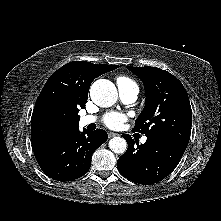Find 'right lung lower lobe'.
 Instances as JSON below:
<instances>
[{
	"instance_id": "right-lung-lower-lobe-1",
	"label": "right lung lower lobe",
	"mask_w": 221,
	"mask_h": 221,
	"mask_svg": "<svg viewBox=\"0 0 221 221\" xmlns=\"http://www.w3.org/2000/svg\"><path fill=\"white\" fill-rule=\"evenodd\" d=\"M107 137L102 129L80 132L77 128L33 151L48 177L68 181L83 176L89 170L93 152L106 142Z\"/></svg>"
}]
</instances>
